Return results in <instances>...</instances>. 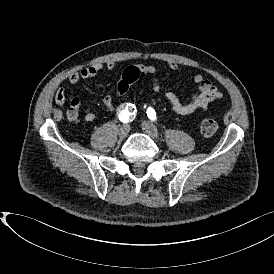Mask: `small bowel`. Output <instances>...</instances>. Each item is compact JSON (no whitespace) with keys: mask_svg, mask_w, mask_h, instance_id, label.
I'll return each mask as SVG.
<instances>
[{"mask_svg":"<svg viewBox=\"0 0 274 274\" xmlns=\"http://www.w3.org/2000/svg\"><path fill=\"white\" fill-rule=\"evenodd\" d=\"M167 66L175 71L180 72L181 67L179 64L175 61H168ZM145 75H149L152 77V89L154 91H160L161 90V83L159 79L156 77L157 75V68L154 65L151 64H140L137 66ZM107 70H114L116 68V63L114 61H107L104 64L96 63L89 65L79 71L73 72L69 76V83L71 85H76L80 80H86V79H92L97 76V74L102 69ZM192 82L194 85L197 86V92L192 96V98L187 102H182L178 96L168 91L165 94V98L167 100V103L169 104L172 112L178 116H188L198 111H205L209 104L217 99L220 98L222 93L221 91L212 84L211 81L206 79L203 74H196L192 78ZM128 89H125L123 91H127ZM117 94H118V84L116 88ZM114 89H110L102 99V102L105 107H107L109 110L115 109L114 104ZM55 100L56 105L59 109L63 107L64 100H65V90L63 87H59L55 94ZM71 104L79 107L80 101L78 98H74L71 101ZM96 120V114L89 112L84 116V121L86 123H92Z\"/></svg>","mask_w":274,"mask_h":274,"instance_id":"small-bowel-1","label":"small bowel"}]
</instances>
